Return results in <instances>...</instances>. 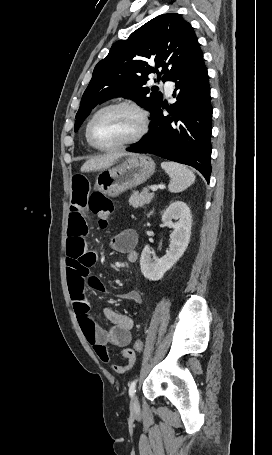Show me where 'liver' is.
Instances as JSON below:
<instances>
[{
	"label": "liver",
	"mask_w": 272,
	"mask_h": 455,
	"mask_svg": "<svg viewBox=\"0 0 272 455\" xmlns=\"http://www.w3.org/2000/svg\"><path fill=\"white\" fill-rule=\"evenodd\" d=\"M123 155L131 154H107L87 160L81 167V172L105 170L115 164L116 160Z\"/></svg>",
	"instance_id": "obj_1"
}]
</instances>
